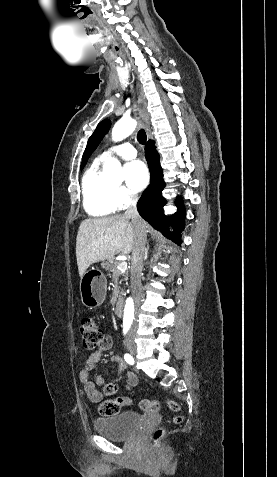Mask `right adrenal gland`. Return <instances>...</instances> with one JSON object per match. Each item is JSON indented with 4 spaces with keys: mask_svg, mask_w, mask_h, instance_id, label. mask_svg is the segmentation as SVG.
<instances>
[{
    "mask_svg": "<svg viewBox=\"0 0 277 477\" xmlns=\"http://www.w3.org/2000/svg\"><path fill=\"white\" fill-rule=\"evenodd\" d=\"M148 249H149V246H148L147 249H146L145 259H147V257H148Z\"/></svg>",
    "mask_w": 277,
    "mask_h": 477,
    "instance_id": "2a0ac1e0",
    "label": "right adrenal gland"
}]
</instances>
